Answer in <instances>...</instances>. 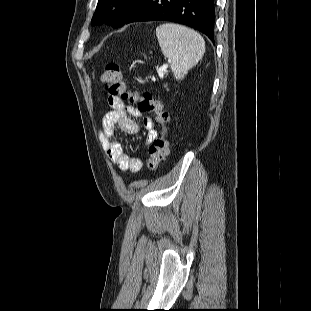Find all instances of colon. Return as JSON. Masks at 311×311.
<instances>
[{
	"mask_svg": "<svg viewBox=\"0 0 311 311\" xmlns=\"http://www.w3.org/2000/svg\"><path fill=\"white\" fill-rule=\"evenodd\" d=\"M101 82L104 85L105 93L108 97L119 98L123 101L135 103L142 113H153L156 121L161 126V134L155 138L149 147L147 158V168L150 171L158 169L160 163L167 157L169 143L167 140V124L170 120L169 113L162 104L148 92L139 94L128 89L124 80L121 68L116 63H108L102 72Z\"/></svg>",
	"mask_w": 311,
	"mask_h": 311,
	"instance_id": "colon-1",
	"label": "colon"
}]
</instances>
